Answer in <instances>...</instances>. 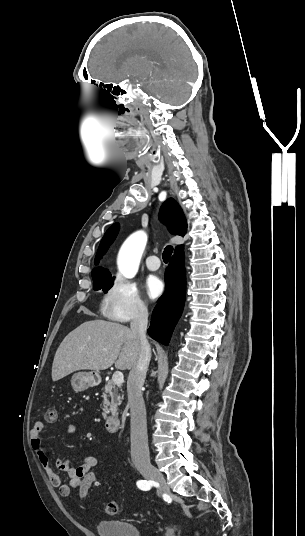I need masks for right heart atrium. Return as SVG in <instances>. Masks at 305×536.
Returning <instances> with one entry per match:
<instances>
[{"instance_id":"1","label":"right heart atrium","mask_w":305,"mask_h":536,"mask_svg":"<svg viewBox=\"0 0 305 536\" xmlns=\"http://www.w3.org/2000/svg\"><path fill=\"white\" fill-rule=\"evenodd\" d=\"M104 315L110 320L127 323L148 314V306L136 284L120 276L112 278L102 299Z\"/></svg>"}]
</instances>
